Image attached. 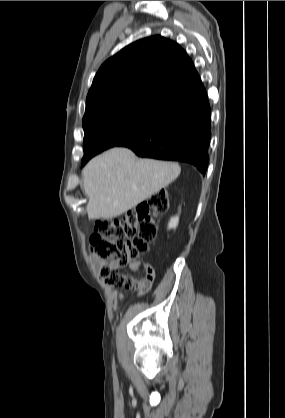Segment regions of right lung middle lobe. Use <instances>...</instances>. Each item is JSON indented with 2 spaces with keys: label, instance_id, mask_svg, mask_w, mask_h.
Masks as SVG:
<instances>
[{
  "label": "right lung middle lobe",
  "instance_id": "obj_1",
  "mask_svg": "<svg viewBox=\"0 0 285 418\" xmlns=\"http://www.w3.org/2000/svg\"><path fill=\"white\" fill-rule=\"evenodd\" d=\"M168 108L150 101L134 100L107 105L83 117L82 163L136 136L156 122Z\"/></svg>",
  "mask_w": 285,
  "mask_h": 418
}]
</instances>
